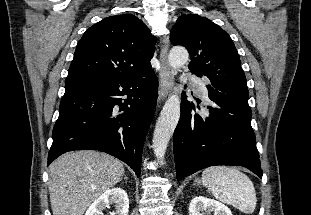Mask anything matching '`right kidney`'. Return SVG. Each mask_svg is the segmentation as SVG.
<instances>
[{
  "instance_id": "1",
  "label": "right kidney",
  "mask_w": 311,
  "mask_h": 215,
  "mask_svg": "<svg viewBox=\"0 0 311 215\" xmlns=\"http://www.w3.org/2000/svg\"><path fill=\"white\" fill-rule=\"evenodd\" d=\"M113 203L115 204V211L111 215H128V195L120 187L106 190L91 204L85 215H103L102 211Z\"/></svg>"
}]
</instances>
